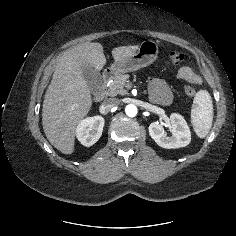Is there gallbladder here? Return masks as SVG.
Masks as SVG:
<instances>
[{
  "label": "gallbladder",
  "instance_id": "obj_1",
  "mask_svg": "<svg viewBox=\"0 0 236 236\" xmlns=\"http://www.w3.org/2000/svg\"><path fill=\"white\" fill-rule=\"evenodd\" d=\"M82 72L89 90L92 93L99 92L102 86V77L99 70L91 64L86 63L82 66Z\"/></svg>",
  "mask_w": 236,
  "mask_h": 236
}]
</instances>
